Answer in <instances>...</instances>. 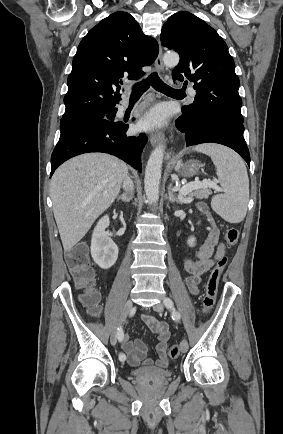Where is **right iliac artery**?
Wrapping results in <instances>:
<instances>
[{
    "mask_svg": "<svg viewBox=\"0 0 283 434\" xmlns=\"http://www.w3.org/2000/svg\"><path fill=\"white\" fill-rule=\"evenodd\" d=\"M124 336V332L123 329L121 327L118 328V332H117V339L120 341ZM126 359V356L122 353L119 354V360L120 361H124Z\"/></svg>",
    "mask_w": 283,
    "mask_h": 434,
    "instance_id": "obj_1",
    "label": "right iliac artery"
}]
</instances>
